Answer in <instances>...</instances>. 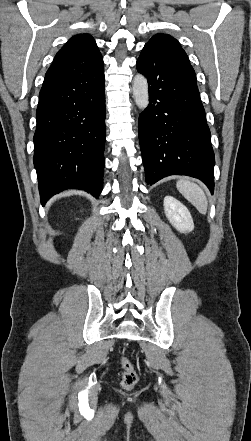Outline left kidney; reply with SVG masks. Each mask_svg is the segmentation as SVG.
<instances>
[{"mask_svg": "<svg viewBox=\"0 0 251 441\" xmlns=\"http://www.w3.org/2000/svg\"><path fill=\"white\" fill-rule=\"evenodd\" d=\"M164 211L167 219L178 232L186 234L194 229L189 210L174 197L164 198Z\"/></svg>", "mask_w": 251, "mask_h": 441, "instance_id": "1", "label": "left kidney"}]
</instances>
